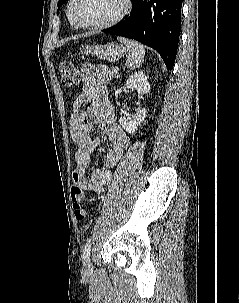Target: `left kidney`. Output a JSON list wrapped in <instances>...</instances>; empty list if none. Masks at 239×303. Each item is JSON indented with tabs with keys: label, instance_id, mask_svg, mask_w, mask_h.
Listing matches in <instances>:
<instances>
[{
	"label": "left kidney",
	"instance_id": "5707ae66",
	"mask_svg": "<svg viewBox=\"0 0 239 303\" xmlns=\"http://www.w3.org/2000/svg\"><path fill=\"white\" fill-rule=\"evenodd\" d=\"M126 87L129 89H136L139 94L145 95L150 91V85L147 81V76L143 71L134 73L127 81ZM147 110L142 108L137 111L134 119L129 120L126 117H120L119 123L128 133H134L138 126L146 118Z\"/></svg>",
	"mask_w": 239,
	"mask_h": 303
}]
</instances>
